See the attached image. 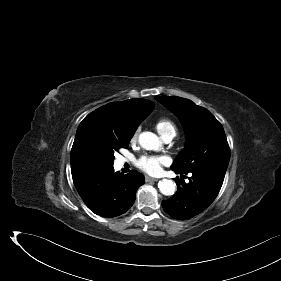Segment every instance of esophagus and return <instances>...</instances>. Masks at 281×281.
<instances>
[{
	"label": "esophagus",
	"instance_id": "obj_1",
	"mask_svg": "<svg viewBox=\"0 0 281 281\" xmlns=\"http://www.w3.org/2000/svg\"><path fill=\"white\" fill-rule=\"evenodd\" d=\"M145 180H146V182H156V181H158V179L152 178V177H149V176H146Z\"/></svg>",
	"mask_w": 281,
	"mask_h": 281
}]
</instances>
